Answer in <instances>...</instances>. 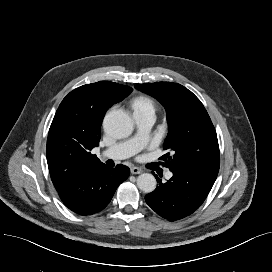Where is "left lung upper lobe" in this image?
Wrapping results in <instances>:
<instances>
[{
    "label": "left lung upper lobe",
    "instance_id": "1",
    "mask_svg": "<svg viewBox=\"0 0 272 272\" xmlns=\"http://www.w3.org/2000/svg\"><path fill=\"white\" fill-rule=\"evenodd\" d=\"M138 90L163 104L167 112L168 135L163 155L170 170L200 168L219 171L216 131L201 101L184 86L171 82L138 84Z\"/></svg>",
    "mask_w": 272,
    "mask_h": 272
}]
</instances>
